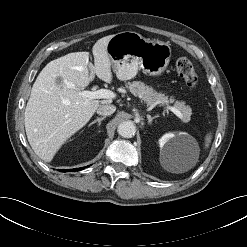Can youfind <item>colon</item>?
I'll return each mask as SVG.
<instances>
[{
  "label": "colon",
  "mask_w": 247,
  "mask_h": 247,
  "mask_svg": "<svg viewBox=\"0 0 247 247\" xmlns=\"http://www.w3.org/2000/svg\"><path fill=\"white\" fill-rule=\"evenodd\" d=\"M176 71L188 88L194 89L197 87L198 75L190 60L184 57L179 58L176 61Z\"/></svg>",
  "instance_id": "5ec220e1"
}]
</instances>
